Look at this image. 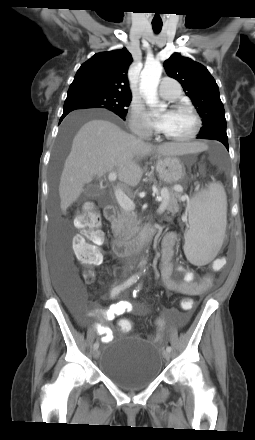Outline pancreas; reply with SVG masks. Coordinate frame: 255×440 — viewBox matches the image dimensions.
Here are the masks:
<instances>
[{"label": "pancreas", "mask_w": 255, "mask_h": 440, "mask_svg": "<svg viewBox=\"0 0 255 440\" xmlns=\"http://www.w3.org/2000/svg\"><path fill=\"white\" fill-rule=\"evenodd\" d=\"M161 195L163 198L161 206L165 205V209L173 215L178 212L179 206L177 202L178 199L181 198V195L167 188L161 190ZM111 228L115 236L130 239L139 231V222L136 213L134 211L120 209L117 212V216L111 221Z\"/></svg>", "instance_id": "cf45deb5"}]
</instances>
